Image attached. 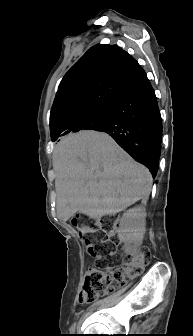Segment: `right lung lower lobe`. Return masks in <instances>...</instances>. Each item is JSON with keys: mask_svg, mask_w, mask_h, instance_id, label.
Wrapping results in <instances>:
<instances>
[{"mask_svg": "<svg viewBox=\"0 0 193 336\" xmlns=\"http://www.w3.org/2000/svg\"><path fill=\"white\" fill-rule=\"evenodd\" d=\"M108 133L134 159L158 171L162 140V119L155 92L140 67L111 105L105 125Z\"/></svg>", "mask_w": 193, "mask_h": 336, "instance_id": "obj_1", "label": "right lung lower lobe"}]
</instances>
